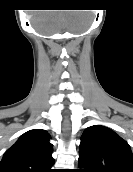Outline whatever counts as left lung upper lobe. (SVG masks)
I'll return each mask as SVG.
<instances>
[{"mask_svg":"<svg viewBox=\"0 0 133 172\" xmlns=\"http://www.w3.org/2000/svg\"><path fill=\"white\" fill-rule=\"evenodd\" d=\"M79 172H133L128 143L113 130L93 125L83 132L79 147Z\"/></svg>","mask_w":133,"mask_h":172,"instance_id":"1","label":"left lung upper lobe"}]
</instances>
